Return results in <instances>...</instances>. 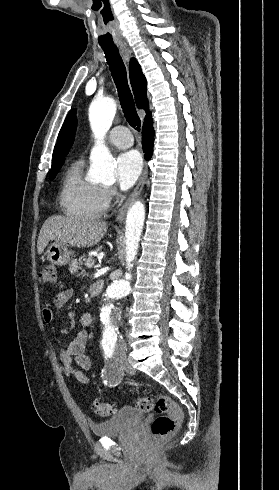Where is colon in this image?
Instances as JSON below:
<instances>
[{
	"mask_svg": "<svg viewBox=\"0 0 279 490\" xmlns=\"http://www.w3.org/2000/svg\"><path fill=\"white\" fill-rule=\"evenodd\" d=\"M42 284H54L56 282V269L53 264H47L39 275ZM155 402V412L157 414L153 421L151 431L155 442H172L173 433L177 423L183 418V411L176 405L170 396L159 395L155 398L141 397L137 399V408L143 412H150ZM94 414L102 417L111 416L114 407L111 402L97 401L93 404Z\"/></svg>",
	"mask_w": 279,
	"mask_h": 490,
	"instance_id": "1",
	"label": "colon"
}]
</instances>
